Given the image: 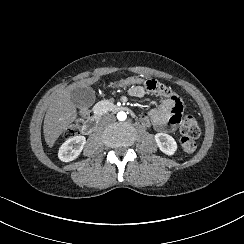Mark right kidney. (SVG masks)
<instances>
[{
	"mask_svg": "<svg viewBox=\"0 0 244 244\" xmlns=\"http://www.w3.org/2000/svg\"><path fill=\"white\" fill-rule=\"evenodd\" d=\"M86 137L82 135L67 139L58 150V158L62 162H72L76 160L84 149Z\"/></svg>",
	"mask_w": 244,
	"mask_h": 244,
	"instance_id": "1",
	"label": "right kidney"
}]
</instances>
